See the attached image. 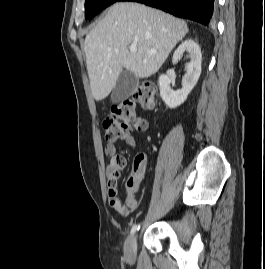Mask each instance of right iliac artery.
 <instances>
[{
  "instance_id": "82829eb1",
  "label": "right iliac artery",
  "mask_w": 265,
  "mask_h": 269,
  "mask_svg": "<svg viewBox=\"0 0 265 269\" xmlns=\"http://www.w3.org/2000/svg\"><path fill=\"white\" fill-rule=\"evenodd\" d=\"M139 229H140V224H135L131 229V234H134Z\"/></svg>"
}]
</instances>
